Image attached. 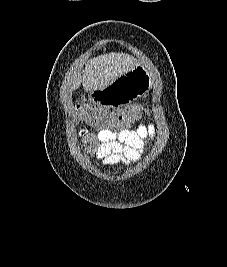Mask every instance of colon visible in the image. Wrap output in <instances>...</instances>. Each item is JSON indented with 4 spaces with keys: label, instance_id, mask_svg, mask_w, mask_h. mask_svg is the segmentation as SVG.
Instances as JSON below:
<instances>
[{
    "label": "colon",
    "instance_id": "1",
    "mask_svg": "<svg viewBox=\"0 0 227 267\" xmlns=\"http://www.w3.org/2000/svg\"><path fill=\"white\" fill-rule=\"evenodd\" d=\"M148 88V87H147ZM102 104L78 105L75 114L78 119L87 120L95 130H125V125H133V120L147 116V111H140L139 105H130L126 110H102ZM112 119V120H109Z\"/></svg>",
    "mask_w": 227,
    "mask_h": 267
}]
</instances>
